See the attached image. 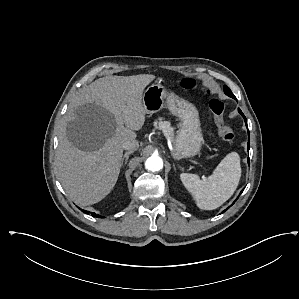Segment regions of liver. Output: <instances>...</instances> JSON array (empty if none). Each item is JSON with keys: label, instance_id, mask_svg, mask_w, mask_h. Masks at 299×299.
<instances>
[{"label": "liver", "instance_id": "liver-1", "mask_svg": "<svg viewBox=\"0 0 299 299\" xmlns=\"http://www.w3.org/2000/svg\"><path fill=\"white\" fill-rule=\"evenodd\" d=\"M154 79L150 74L106 76L82 89L73 101L60 135L56 166L65 192L76 203L95 204L115 186L122 144L135 139L134 131L145 123L143 92Z\"/></svg>", "mask_w": 299, "mask_h": 299}]
</instances>
